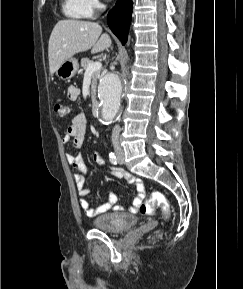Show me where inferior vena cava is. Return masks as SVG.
Listing matches in <instances>:
<instances>
[{
  "mask_svg": "<svg viewBox=\"0 0 243 289\" xmlns=\"http://www.w3.org/2000/svg\"><path fill=\"white\" fill-rule=\"evenodd\" d=\"M119 134H120V126L116 125L112 130V136H111L112 145L116 153L122 152V149L119 144Z\"/></svg>",
  "mask_w": 243,
  "mask_h": 289,
  "instance_id": "inferior-vena-cava-1",
  "label": "inferior vena cava"
}]
</instances>
